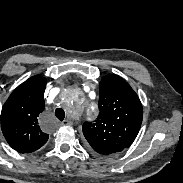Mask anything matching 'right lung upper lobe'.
<instances>
[{
	"label": "right lung upper lobe",
	"instance_id": "right-lung-upper-lobe-1",
	"mask_svg": "<svg viewBox=\"0 0 183 183\" xmlns=\"http://www.w3.org/2000/svg\"><path fill=\"white\" fill-rule=\"evenodd\" d=\"M45 86L46 79L40 75L29 78L12 92L2 108V132L18 152H33L48 140L38 125V116L45 108Z\"/></svg>",
	"mask_w": 183,
	"mask_h": 183
}]
</instances>
